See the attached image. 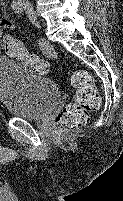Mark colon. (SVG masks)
<instances>
[{"instance_id":"5ec220e1","label":"colon","mask_w":123,"mask_h":201,"mask_svg":"<svg viewBox=\"0 0 123 201\" xmlns=\"http://www.w3.org/2000/svg\"><path fill=\"white\" fill-rule=\"evenodd\" d=\"M3 50L13 58L20 60L24 66L38 73H48L49 64L38 55L28 53L24 45L11 34H5ZM71 83L76 88L73 103L66 105L56 116L54 133L57 137L84 127L91 113L100 106V95L91 74L86 70H77L72 74Z\"/></svg>"}]
</instances>
